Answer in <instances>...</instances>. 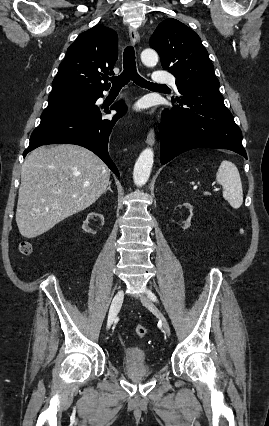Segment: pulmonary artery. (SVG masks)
I'll list each match as a JSON object with an SVG mask.
<instances>
[{"mask_svg": "<svg viewBox=\"0 0 269 426\" xmlns=\"http://www.w3.org/2000/svg\"><path fill=\"white\" fill-rule=\"evenodd\" d=\"M153 80L160 85L176 86V78L174 75L166 73L162 70H156L153 73Z\"/></svg>", "mask_w": 269, "mask_h": 426, "instance_id": "obj_1", "label": "pulmonary artery"}]
</instances>
